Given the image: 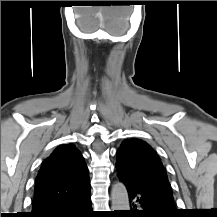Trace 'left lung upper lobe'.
I'll return each mask as SVG.
<instances>
[{
    "label": "left lung upper lobe",
    "mask_w": 217,
    "mask_h": 217,
    "mask_svg": "<svg viewBox=\"0 0 217 217\" xmlns=\"http://www.w3.org/2000/svg\"><path fill=\"white\" fill-rule=\"evenodd\" d=\"M116 169L126 187L158 194L174 202L166 169L146 142L140 139L124 140L117 152Z\"/></svg>",
    "instance_id": "left-lung-upper-lobe-1"
}]
</instances>
